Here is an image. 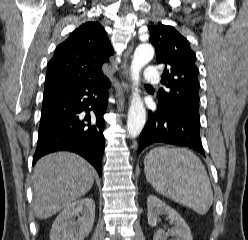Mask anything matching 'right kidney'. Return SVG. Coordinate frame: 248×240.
I'll return each instance as SVG.
<instances>
[{
	"label": "right kidney",
	"instance_id": "ca27d5eb",
	"mask_svg": "<svg viewBox=\"0 0 248 240\" xmlns=\"http://www.w3.org/2000/svg\"><path fill=\"white\" fill-rule=\"evenodd\" d=\"M95 219V202L91 198L76 200L67 205L55 219L50 240H84Z\"/></svg>",
	"mask_w": 248,
	"mask_h": 240
}]
</instances>
